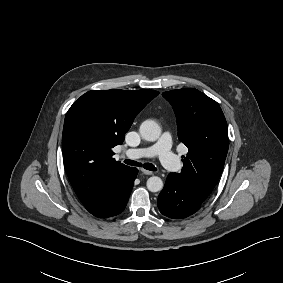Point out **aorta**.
Instances as JSON below:
<instances>
[{
	"mask_svg": "<svg viewBox=\"0 0 283 283\" xmlns=\"http://www.w3.org/2000/svg\"><path fill=\"white\" fill-rule=\"evenodd\" d=\"M140 135L146 141H156L161 135V128L154 120H145L140 125ZM147 189L151 192H159L163 189V181L158 176H152L147 180Z\"/></svg>",
	"mask_w": 283,
	"mask_h": 283,
	"instance_id": "obj_1",
	"label": "aorta"
}]
</instances>
